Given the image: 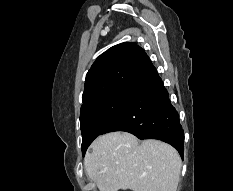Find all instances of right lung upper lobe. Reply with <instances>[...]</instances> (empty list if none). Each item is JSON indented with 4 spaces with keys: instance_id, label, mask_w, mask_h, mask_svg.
Segmentation results:
<instances>
[{
    "instance_id": "1",
    "label": "right lung upper lobe",
    "mask_w": 233,
    "mask_h": 191,
    "mask_svg": "<svg viewBox=\"0 0 233 191\" xmlns=\"http://www.w3.org/2000/svg\"><path fill=\"white\" fill-rule=\"evenodd\" d=\"M149 62L145 51L133 42L121 43L105 51L86 75L82 107L111 94L128 91Z\"/></svg>"
}]
</instances>
